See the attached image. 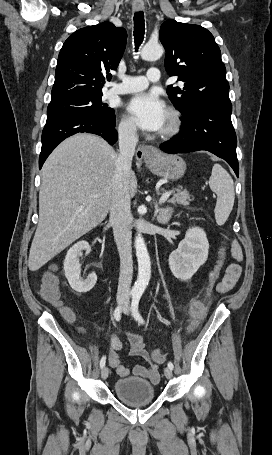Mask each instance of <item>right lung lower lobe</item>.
<instances>
[{"label": "right lung lower lobe", "instance_id": "1", "mask_svg": "<svg viewBox=\"0 0 272 455\" xmlns=\"http://www.w3.org/2000/svg\"><path fill=\"white\" fill-rule=\"evenodd\" d=\"M79 132H86L103 137L109 144L117 141L115 118L106 120L91 115H69L47 120L42 132V148L39 157V169L54 150L65 138Z\"/></svg>", "mask_w": 272, "mask_h": 455}]
</instances>
